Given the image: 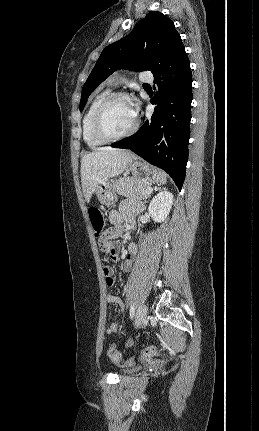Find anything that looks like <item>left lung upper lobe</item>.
Masks as SVG:
<instances>
[{
	"label": "left lung upper lobe",
	"instance_id": "obj_1",
	"mask_svg": "<svg viewBox=\"0 0 259 431\" xmlns=\"http://www.w3.org/2000/svg\"><path fill=\"white\" fill-rule=\"evenodd\" d=\"M180 39L169 18L160 12L149 13L130 34L102 51L83 86L80 111L92 91L115 70L126 68L154 72Z\"/></svg>",
	"mask_w": 259,
	"mask_h": 431
}]
</instances>
